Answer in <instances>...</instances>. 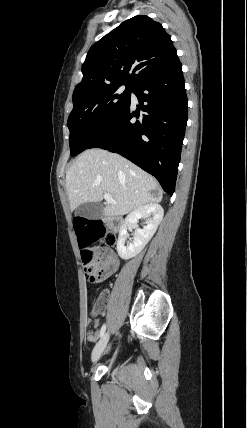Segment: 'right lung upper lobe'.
Here are the masks:
<instances>
[{"label":"right lung upper lobe","instance_id":"1","mask_svg":"<svg viewBox=\"0 0 247 428\" xmlns=\"http://www.w3.org/2000/svg\"><path fill=\"white\" fill-rule=\"evenodd\" d=\"M175 58L176 49L162 25L135 16L91 46L73 98L115 86L136 88Z\"/></svg>","mask_w":247,"mask_h":428}]
</instances>
